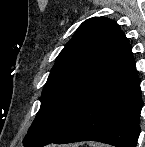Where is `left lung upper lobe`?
Returning <instances> with one entry per match:
<instances>
[{"label":"left lung upper lobe","instance_id":"5c2ea615","mask_svg":"<svg viewBox=\"0 0 145 147\" xmlns=\"http://www.w3.org/2000/svg\"><path fill=\"white\" fill-rule=\"evenodd\" d=\"M121 33L116 22L103 17L80 25L51 69L23 140L26 147H43L68 128Z\"/></svg>","mask_w":145,"mask_h":147}]
</instances>
